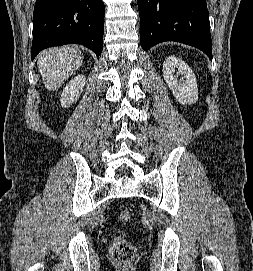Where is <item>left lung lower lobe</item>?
Instances as JSON below:
<instances>
[{"label": "left lung lower lobe", "instance_id": "obj_1", "mask_svg": "<svg viewBox=\"0 0 253 271\" xmlns=\"http://www.w3.org/2000/svg\"><path fill=\"white\" fill-rule=\"evenodd\" d=\"M140 44L148 51L164 41L202 50L212 58L209 14L205 0H137Z\"/></svg>", "mask_w": 253, "mask_h": 271}]
</instances>
